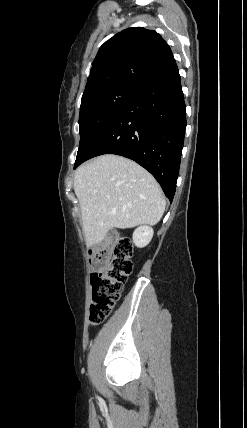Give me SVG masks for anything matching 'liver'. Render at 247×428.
<instances>
[{
    "label": "liver",
    "instance_id": "1",
    "mask_svg": "<svg viewBox=\"0 0 247 428\" xmlns=\"http://www.w3.org/2000/svg\"><path fill=\"white\" fill-rule=\"evenodd\" d=\"M86 245L100 244L112 228L157 224L166 201L154 177L137 163L103 155L81 165L74 176Z\"/></svg>",
    "mask_w": 247,
    "mask_h": 428
}]
</instances>
